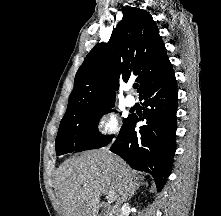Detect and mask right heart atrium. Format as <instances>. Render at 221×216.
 <instances>
[{"mask_svg":"<svg viewBox=\"0 0 221 216\" xmlns=\"http://www.w3.org/2000/svg\"><path fill=\"white\" fill-rule=\"evenodd\" d=\"M96 133L100 136L115 135L119 131V121L114 112H103L95 123Z\"/></svg>","mask_w":221,"mask_h":216,"instance_id":"right-heart-atrium-1","label":"right heart atrium"}]
</instances>
